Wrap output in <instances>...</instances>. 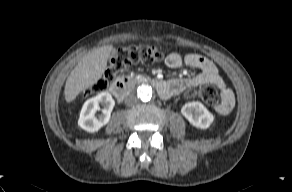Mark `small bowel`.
Segmentation results:
<instances>
[{
	"label": "small bowel",
	"instance_id": "1",
	"mask_svg": "<svg viewBox=\"0 0 292 192\" xmlns=\"http://www.w3.org/2000/svg\"><path fill=\"white\" fill-rule=\"evenodd\" d=\"M165 63L173 69L180 68L185 64L199 71L194 76L170 79L167 82L169 84V95L167 97L177 95L191 87L214 84L220 89L222 96V102L216 107V111L219 114L225 115L232 109L234 104L233 94L226 87L216 65L211 60L195 53L182 56L179 53L173 52L166 57Z\"/></svg>",
	"mask_w": 292,
	"mask_h": 192
}]
</instances>
